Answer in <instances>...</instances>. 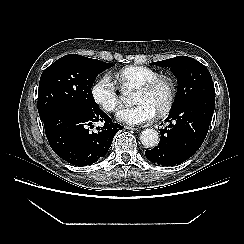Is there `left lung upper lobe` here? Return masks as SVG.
Here are the masks:
<instances>
[{
    "mask_svg": "<svg viewBox=\"0 0 244 244\" xmlns=\"http://www.w3.org/2000/svg\"><path fill=\"white\" fill-rule=\"evenodd\" d=\"M154 64L170 68L177 76L179 87L171 109L194 98H215L212 77L208 69L199 61L187 56H177Z\"/></svg>",
    "mask_w": 244,
    "mask_h": 244,
    "instance_id": "obj_1",
    "label": "left lung upper lobe"
}]
</instances>
